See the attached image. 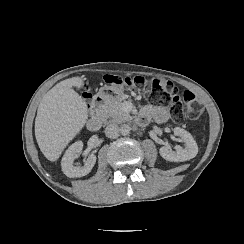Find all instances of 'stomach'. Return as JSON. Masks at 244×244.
I'll use <instances>...</instances> for the list:
<instances>
[{"mask_svg": "<svg viewBox=\"0 0 244 244\" xmlns=\"http://www.w3.org/2000/svg\"><path fill=\"white\" fill-rule=\"evenodd\" d=\"M127 86L128 84L124 81L120 84L104 85L99 89L94 99L96 100L99 97L105 103H109L112 100L121 98Z\"/></svg>", "mask_w": 244, "mask_h": 244, "instance_id": "obj_1", "label": "stomach"}]
</instances>
